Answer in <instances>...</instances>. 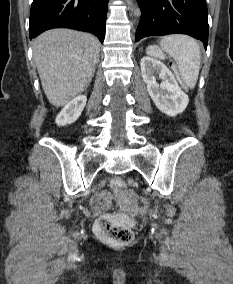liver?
Segmentation results:
<instances>
[{"instance_id":"1","label":"liver","mask_w":233,"mask_h":284,"mask_svg":"<svg viewBox=\"0 0 233 284\" xmlns=\"http://www.w3.org/2000/svg\"><path fill=\"white\" fill-rule=\"evenodd\" d=\"M100 43L88 33L52 29L33 43V57L44 93L55 107H62L91 82Z\"/></svg>"}]
</instances>
